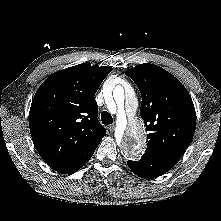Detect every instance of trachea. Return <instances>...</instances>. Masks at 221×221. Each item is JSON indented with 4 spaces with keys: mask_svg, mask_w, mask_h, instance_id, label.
<instances>
[{
    "mask_svg": "<svg viewBox=\"0 0 221 221\" xmlns=\"http://www.w3.org/2000/svg\"><path fill=\"white\" fill-rule=\"evenodd\" d=\"M101 121L105 125H110L113 123V118L110 113H108L107 111H103L101 113Z\"/></svg>",
    "mask_w": 221,
    "mask_h": 221,
    "instance_id": "trachea-1",
    "label": "trachea"
}]
</instances>
